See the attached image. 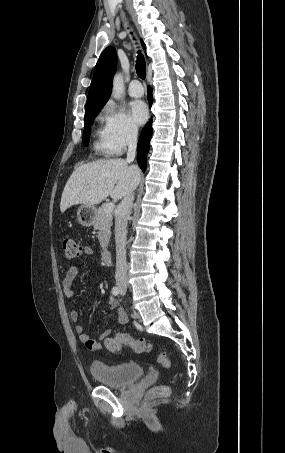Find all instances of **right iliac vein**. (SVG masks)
Instances as JSON below:
<instances>
[{"label": "right iliac vein", "instance_id": "obj_1", "mask_svg": "<svg viewBox=\"0 0 285 453\" xmlns=\"http://www.w3.org/2000/svg\"><path fill=\"white\" fill-rule=\"evenodd\" d=\"M118 286L121 290H126V288H127L125 283H119Z\"/></svg>", "mask_w": 285, "mask_h": 453}]
</instances>
